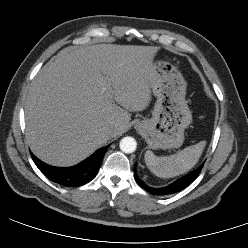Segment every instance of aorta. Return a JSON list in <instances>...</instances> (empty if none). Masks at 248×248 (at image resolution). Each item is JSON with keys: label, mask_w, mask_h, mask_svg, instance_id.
I'll list each match as a JSON object with an SVG mask.
<instances>
[{"label": "aorta", "mask_w": 248, "mask_h": 248, "mask_svg": "<svg viewBox=\"0 0 248 248\" xmlns=\"http://www.w3.org/2000/svg\"><path fill=\"white\" fill-rule=\"evenodd\" d=\"M120 149L124 153H133L136 150L137 142L133 137H124L120 141Z\"/></svg>", "instance_id": "762f6f07"}]
</instances>
